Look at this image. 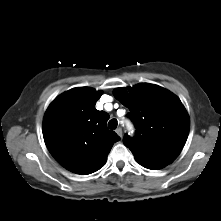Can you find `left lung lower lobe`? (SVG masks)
<instances>
[{"label":"left lung lower lobe","instance_id":"obj_1","mask_svg":"<svg viewBox=\"0 0 221 221\" xmlns=\"http://www.w3.org/2000/svg\"><path fill=\"white\" fill-rule=\"evenodd\" d=\"M137 162L145 168L157 170L165 167L166 165L170 164V162H145V161H138Z\"/></svg>","mask_w":221,"mask_h":221}]
</instances>
